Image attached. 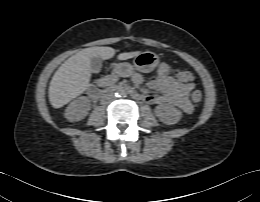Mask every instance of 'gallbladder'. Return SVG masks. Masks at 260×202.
<instances>
[{
  "instance_id": "bac80fb5",
  "label": "gallbladder",
  "mask_w": 260,
  "mask_h": 202,
  "mask_svg": "<svg viewBox=\"0 0 260 202\" xmlns=\"http://www.w3.org/2000/svg\"><path fill=\"white\" fill-rule=\"evenodd\" d=\"M90 68L92 73H99L102 68V59L99 56H95L90 61Z\"/></svg>"
}]
</instances>
